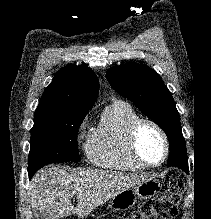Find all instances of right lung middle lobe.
Returning <instances> with one entry per match:
<instances>
[{
    "mask_svg": "<svg viewBox=\"0 0 211 219\" xmlns=\"http://www.w3.org/2000/svg\"><path fill=\"white\" fill-rule=\"evenodd\" d=\"M85 116V113L53 114L46 108L36 109L31 129L29 178L44 165L80 161L77 132Z\"/></svg>",
    "mask_w": 211,
    "mask_h": 219,
    "instance_id": "right-lung-middle-lobe-1",
    "label": "right lung middle lobe"
}]
</instances>
